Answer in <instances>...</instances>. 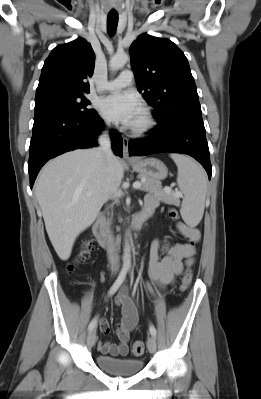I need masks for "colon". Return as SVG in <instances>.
Masks as SVG:
<instances>
[{"instance_id":"colon-1","label":"colon","mask_w":261,"mask_h":399,"mask_svg":"<svg viewBox=\"0 0 261 399\" xmlns=\"http://www.w3.org/2000/svg\"><path fill=\"white\" fill-rule=\"evenodd\" d=\"M168 215L171 219H174V220L179 218L177 211L172 208H170L168 210ZM93 249H94L93 244L91 242H87L85 244L84 248L78 254L75 263L71 264L68 267L69 271L70 272L73 271L76 264L84 263L85 261H87L91 257ZM192 277H193L192 272L190 270H186L182 277V283H181L182 291H185L189 287V285L192 281ZM144 350H145V346L142 341H135L131 346V353L134 356L142 355L144 353Z\"/></svg>"}]
</instances>
